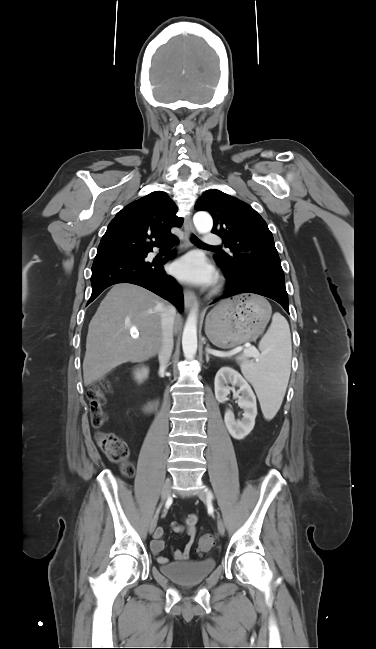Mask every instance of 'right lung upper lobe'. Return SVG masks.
<instances>
[{
  "label": "right lung upper lobe",
  "mask_w": 376,
  "mask_h": 649,
  "mask_svg": "<svg viewBox=\"0 0 376 649\" xmlns=\"http://www.w3.org/2000/svg\"><path fill=\"white\" fill-rule=\"evenodd\" d=\"M177 211L170 197L160 191L128 204L108 225L97 255L145 252L162 244L172 236L171 228L183 223ZM153 238L155 241H150Z\"/></svg>",
  "instance_id": "right-lung-upper-lobe-1"
}]
</instances>
